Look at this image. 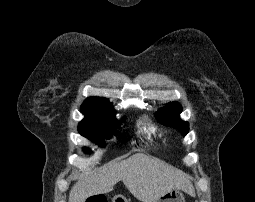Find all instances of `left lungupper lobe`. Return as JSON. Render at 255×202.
Segmentation results:
<instances>
[{"label": "left lung upper lobe", "instance_id": "left-lung-upper-lobe-1", "mask_svg": "<svg viewBox=\"0 0 255 202\" xmlns=\"http://www.w3.org/2000/svg\"><path fill=\"white\" fill-rule=\"evenodd\" d=\"M181 112V105L178 102H171L165 107L159 109L155 113V116L164 125H171L178 128L182 132L183 136H185L189 131V125L187 122L182 121L179 118Z\"/></svg>", "mask_w": 255, "mask_h": 202}]
</instances>
